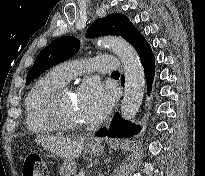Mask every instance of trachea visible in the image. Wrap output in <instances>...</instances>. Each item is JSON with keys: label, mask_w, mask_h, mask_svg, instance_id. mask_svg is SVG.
<instances>
[{"label": "trachea", "mask_w": 205, "mask_h": 176, "mask_svg": "<svg viewBox=\"0 0 205 176\" xmlns=\"http://www.w3.org/2000/svg\"><path fill=\"white\" fill-rule=\"evenodd\" d=\"M113 73H119L118 71H114Z\"/></svg>", "instance_id": "3493384b"}]
</instances>
